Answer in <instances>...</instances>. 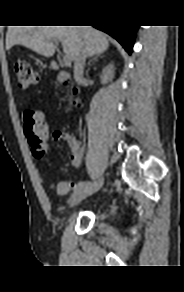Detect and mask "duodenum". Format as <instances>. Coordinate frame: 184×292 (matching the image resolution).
<instances>
[{"mask_svg":"<svg viewBox=\"0 0 184 292\" xmlns=\"http://www.w3.org/2000/svg\"><path fill=\"white\" fill-rule=\"evenodd\" d=\"M52 69L58 72L61 82H66L68 80V74L60 69L59 64L55 60L52 61Z\"/></svg>","mask_w":184,"mask_h":292,"instance_id":"duodenum-1","label":"duodenum"}]
</instances>
